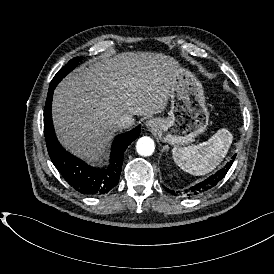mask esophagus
<instances>
[{
  "instance_id": "34e87169",
  "label": "esophagus",
  "mask_w": 274,
  "mask_h": 274,
  "mask_svg": "<svg viewBox=\"0 0 274 274\" xmlns=\"http://www.w3.org/2000/svg\"><path fill=\"white\" fill-rule=\"evenodd\" d=\"M146 125L149 126V127H154V121L152 119H149L147 122H146Z\"/></svg>"
}]
</instances>
